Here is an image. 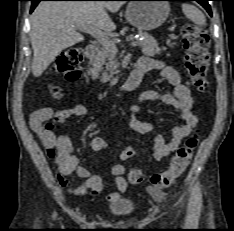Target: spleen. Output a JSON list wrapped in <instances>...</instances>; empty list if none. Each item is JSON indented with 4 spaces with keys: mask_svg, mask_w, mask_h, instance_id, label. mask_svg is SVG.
<instances>
[{
    "mask_svg": "<svg viewBox=\"0 0 234 231\" xmlns=\"http://www.w3.org/2000/svg\"><path fill=\"white\" fill-rule=\"evenodd\" d=\"M182 11L187 18H189L196 25H204L206 22V18L204 14L196 8L194 5L189 3L182 4Z\"/></svg>",
    "mask_w": 234,
    "mask_h": 231,
    "instance_id": "spleen-1",
    "label": "spleen"
}]
</instances>
